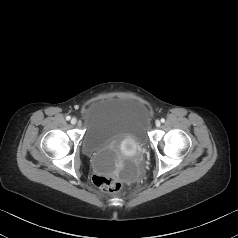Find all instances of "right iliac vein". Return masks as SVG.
I'll return each instance as SVG.
<instances>
[{
    "label": "right iliac vein",
    "instance_id": "obj_1",
    "mask_svg": "<svg viewBox=\"0 0 238 238\" xmlns=\"http://www.w3.org/2000/svg\"><path fill=\"white\" fill-rule=\"evenodd\" d=\"M77 123V119L76 118H72L71 119V124L75 125Z\"/></svg>",
    "mask_w": 238,
    "mask_h": 238
}]
</instances>
